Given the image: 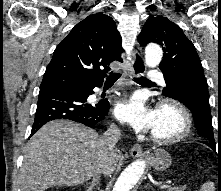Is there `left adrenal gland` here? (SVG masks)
<instances>
[{"mask_svg":"<svg viewBox=\"0 0 221 191\" xmlns=\"http://www.w3.org/2000/svg\"><path fill=\"white\" fill-rule=\"evenodd\" d=\"M148 186L150 187V185H149V184H147L145 187H148Z\"/></svg>","mask_w":221,"mask_h":191,"instance_id":"1","label":"left adrenal gland"}]
</instances>
